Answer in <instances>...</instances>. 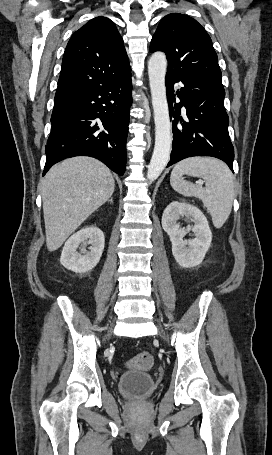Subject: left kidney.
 Wrapping results in <instances>:
<instances>
[{
  "label": "left kidney",
  "instance_id": "5707ae66",
  "mask_svg": "<svg viewBox=\"0 0 272 455\" xmlns=\"http://www.w3.org/2000/svg\"><path fill=\"white\" fill-rule=\"evenodd\" d=\"M181 216L190 218L194 222V226L188 225L187 228H181L177 223ZM162 227L169 235L172 254L181 267L191 268L202 263L211 245L212 233L208 221L200 209L184 202L174 201L163 212ZM190 230L195 233V238L183 240L185 234Z\"/></svg>",
  "mask_w": 272,
  "mask_h": 455
}]
</instances>
